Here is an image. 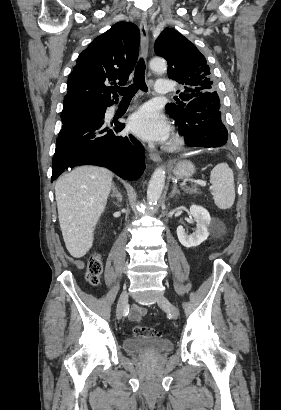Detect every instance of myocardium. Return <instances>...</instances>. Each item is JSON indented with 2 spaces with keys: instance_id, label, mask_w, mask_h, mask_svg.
<instances>
[{
  "instance_id": "myocardium-1",
  "label": "myocardium",
  "mask_w": 281,
  "mask_h": 410,
  "mask_svg": "<svg viewBox=\"0 0 281 410\" xmlns=\"http://www.w3.org/2000/svg\"><path fill=\"white\" fill-rule=\"evenodd\" d=\"M183 144V138L180 135H175L167 146L170 151L179 149Z\"/></svg>"
}]
</instances>
